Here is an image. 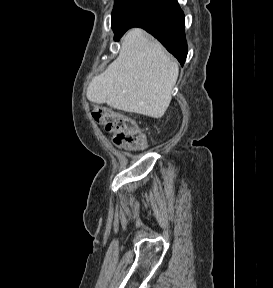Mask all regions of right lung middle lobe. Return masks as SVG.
Masks as SVG:
<instances>
[{"instance_id": "1", "label": "right lung middle lobe", "mask_w": 273, "mask_h": 288, "mask_svg": "<svg viewBox=\"0 0 273 288\" xmlns=\"http://www.w3.org/2000/svg\"><path fill=\"white\" fill-rule=\"evenodd\" d=\"M137 1L138 0H115L112 11V28L121 21V19Z\"/></svg>"}]
</instances>
